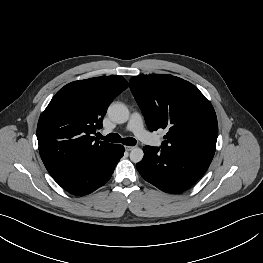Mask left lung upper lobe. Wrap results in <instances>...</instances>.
<instances>
[{
	"mask_svg": "<svg viewBox=\"0 0 263 263\" xmlns=\"http://www.w3.org/2000/svg\"><path fill=\"white\" fill-rule=\"evenodd\" d=\"M130 88L149 129H169L163 147L212 161L217 117L193 84L172 75L152 74L132 77Z\"/></svg>",
	"mask_w": 263,
	"mask_h": 263,
	"instance_id": "1",
	"label": "left lung upper lobe"
}]
</instances>
